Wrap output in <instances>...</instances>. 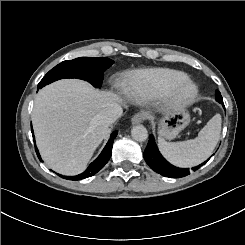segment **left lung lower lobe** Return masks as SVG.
<instances>
[{
	"label": "left lung lower lobe",
	"instance_id": "0a47b994",
	"mask_svg": "<svg viewBox=\"0 0 245 245\" xmlns=\"http://www.w3.org/2000/svg\"><path fill=\"white\" fill-rule=\"evenodd\" d=\"M216 100L219 103L223 104L222 96L218 90L216 91ZM143 157L146 163L150 166V168L153 169L155 172L161 174L162 176L170 177V178H180V177H185L190 174L189 168L175 167L163 158V156L160 154L158 150V147L156 146V143H155V140L152 134L149 136V141L144 151ZM208 160L203 162L201 165L193 167L192 170L193 171L198 170Z\"/></svg>",
	"mask_w": 245,
	"mask_h": 245
}]
</instances>
